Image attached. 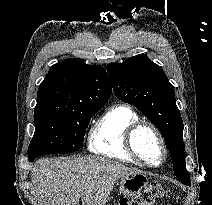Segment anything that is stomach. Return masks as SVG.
Returning a JSON list of instances; mask_svg holds the SVG:
<instances>
[{
	"instance_id": "obj_1",
	"label": "stomach",
	"mask_w": 212,
	"mask_h": 205,
	"mask_svg": "<svg viewBox=\"0 0 212 205\" xmlns=\"http://www.w3.org/2000/svg\"><path fill=\"white\" fill-rule=\"evenodd\" d=\"M148 182V178L139 173H133L120 178L119 191L124 196H134L140 192Z\"/></svg>"
}]
</instances>
